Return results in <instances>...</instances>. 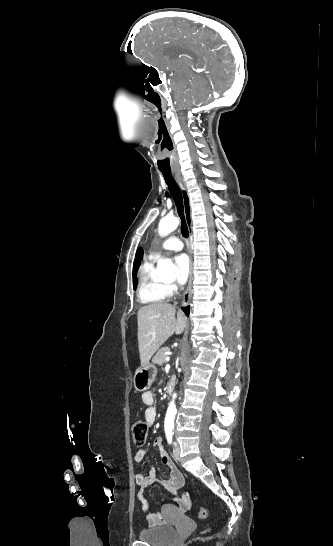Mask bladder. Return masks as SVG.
Instances as JSON below:
<instances>
[{"mask_svg":"<svg viewBox=\"0 0 333 546\" xmlns=\"http://www.w3.org/2000/svg\"><path fill=\"white\" fill-rule=\"evenodd\" d=\"M178 531L173 526H155L139 532V539L151 546H171L178 539Z\"/></svg>","mask_w":333,"mask_h":546,"instance_id":"1","label":"bladder"}]
</instances>
